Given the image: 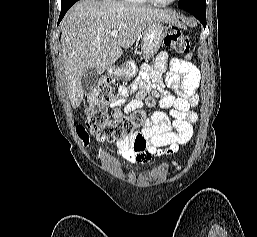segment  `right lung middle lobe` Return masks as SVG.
<instances>
[{
    "instance_id": "right-lung-middle-lobe-1",
    "label": "right lung middle lobe",
    "mask_w": 257,
    "mask_h": 237,
    "mask_svg": "<svg viewBox=\"0 0 257 237\" xmlns=\"http://www.w3.org/2000/svg\"><path fill=\"white\" fill-rule=\"evenodd\" d=\"M78 0H62L61 1V9L62 8H66L68 6L73 5L75 2H77Z\"/></svg>"
}]
</instances>
